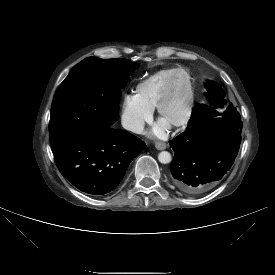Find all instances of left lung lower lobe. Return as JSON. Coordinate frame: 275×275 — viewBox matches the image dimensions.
<instances>
[{
    "mask_svg": "<svg viewBox=\"0 0 275 275\" xmlns=\"http://www.w3.org/2000/svg\"><path fill=\"white\" fill-rule=\"evenodd\" d=\"M241 130L218 122L197 123L170 141L174 151L171 180L184 194L214 188L231 168L239 151Z\"/></svg>",
    "mask_w": 275,
    "mask_h": 275,
    "instance_id": "left-lung-lower-lobe-1",
    "label": "left lung lower lobe"
}]
</instances>
